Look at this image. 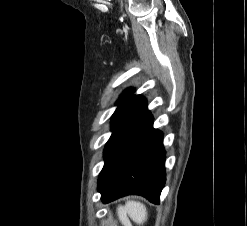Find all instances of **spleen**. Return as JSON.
Here are the masks:
<instances>
[{"mask_svg":"<svg viewBox=\"0 0 247 226\" xmlns=\"http://www.w3.org/2000/svg\"><path fill=\"white\" fill-rule=\"evenodd\" d=\"M117 212L120 222L124 226H131L128 217L139 225L143 224L147 219L146 207L142 203L136 201H128L124 206H119Z\"/></svg>","mask_w":247,"mask_h":226,"instance_id":"1","label":"spleen"}]
</instances>
